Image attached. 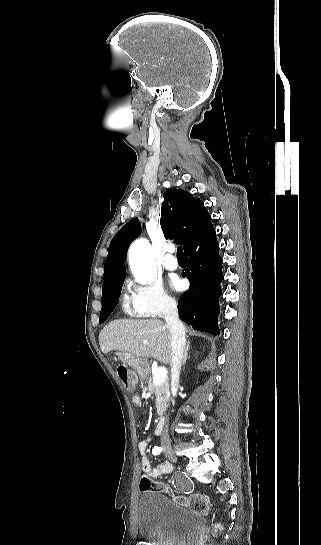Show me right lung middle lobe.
I'll use <instances>...</instances> for the list:
<instances>
[{
    "label": "right lung middle lobe",
    "mask_w": 321,
    "mask_h": 545,
    "mask_svg": "<svg viewBox=\"0 0 321 545\" xmlns=\"http://www.w3.org/2000/svg\"><path fill=\"white\" fill-rule=\"evenodd\" d=\"M122 283L102 291V309L100 312L99 323H103L108 318L107 303L112 297H118L122 288Z\"/></svg>",
    "instance_id": "dd1d6c3e"
}]
</instances>
